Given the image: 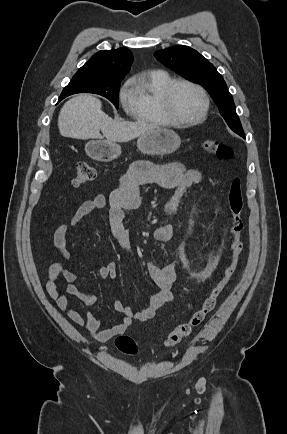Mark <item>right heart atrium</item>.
Listing matches in <instances>:
<instances>
[{
    "instance_id": "obj_1",
    "label": "right heart atrium",
    "mask_w": 287,
    "mask_h": 434,
    "mask_svg": "<svg viewBox=\"0 0 287 434\" xmlns=\"http://www.w3.org/2000/svg\"><path fill=\"white\" fill-rule=\"evenodd\" d=\"M119 99L125 110H129L133 103V93H132V79L128 80L119 92Z\"/></svg>"
}]
</instances>
